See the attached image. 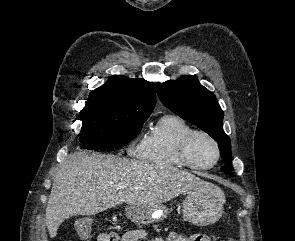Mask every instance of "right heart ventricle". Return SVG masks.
I'll return each instance as SVG.
<instances>
[{
  "instance_id": "e07e8e85",
  "label": "right heart ventricle",
  "mask_w": 295,
  "mask_h": 241,
  "mask_svg": "<svg viewBox=\"0 0 295 241\" xmlns=\"http://www.w3.org/2000/svg\"><path fill=\"white\" fill-rule=\"evenodd\" d=\"M192 127L182 117L175 114H165L159 118L148 135L136 149V155L149 163L179 167L183 165L178 146L183 137Z\"/></svg>"
}]
</instances>
